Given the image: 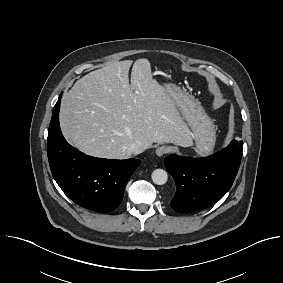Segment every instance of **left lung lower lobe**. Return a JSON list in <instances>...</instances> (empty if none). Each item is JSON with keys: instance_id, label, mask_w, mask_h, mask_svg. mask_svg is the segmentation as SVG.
I'll use <instances>...</instances> for the list:
<instances>
[{"instance_id": "1", "label": "left lung lower lobe", "mask_w": 283, "mask_h": 283, "mask_svg": "<svg viewBox=\"0 0 283 283\" xmlns=\"http://www.w3.org/2000/svg\"><path fill=\"white\" fill-rule=\"evenodd\" d=\"M242 150V142L233 140L227 148L205 158L167 157L165 167L176 183L171 207L178 213H191L217 203L234 182Z\"/></svg>"}]
</instances>
